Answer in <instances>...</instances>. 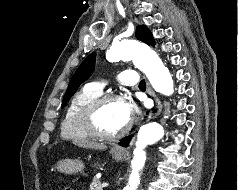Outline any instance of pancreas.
<instances>
[{"instance_id": "pancreas-1", "label": "pancreas", "mask_w": 238, "mask_h": 190, "mask_svg": "<svg viewBox=\"0 0 238 190\" xmlns=\"http://www.w3.org/2000/svg\"><path fill=\"white\" fill-rule=\"evenodd\" d=\"M89 190H103L102 183L97 177L93 178L92 183L90 184Z\"/></svg>"}]
</instances>
